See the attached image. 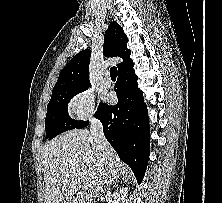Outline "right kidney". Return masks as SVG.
I'll list each match as a JSON object with an SVG mask.
<instances>
[{"label": "right kidney", "instance_id": "ca27d5eb", "mask_svg": "<svg viewBox=\"0 0 222 203\" xmlns=\"http://www.w3.org/2000/svg\"><path fill=\"white\" fill-rule=\"evenodd\" d=\"M128 188H119L113 193V203H127Z\"/></svg>", "mask_w": 222, "mask_h": 203}]
</instances>
